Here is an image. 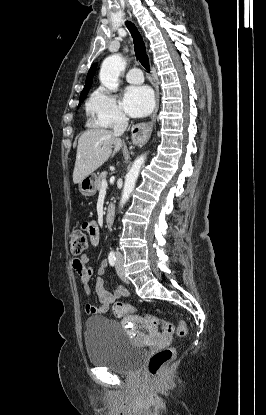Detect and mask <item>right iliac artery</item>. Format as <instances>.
I'll list each match as a JSON object with an SVG mask.
<instances>
[{
  "mask_svg": "<svg viewBox=\"0 0 266 415\" xmlns=\"http://www.w3.org/2000/svg\"><path fill=\"white\" fill-rule=\"evenodd\" d=\"M108 261H109V264L111 266H114L115 265V263H116V257H115V253L114 252H110V254L108 256Z\"/></svg>",
  "mask_w": 266,
  "mask_h": 415,
  "instance_id": "82829eb1",
  "label": "right iliac artery"
}]
</instances>
